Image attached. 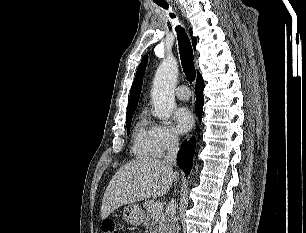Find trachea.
<instances>
[{"instance_id":"1","label":"trachea","mask_w":306,"mask_h":233,"mask_svg":"<svg viewBox=\"0 0 306 233\" xmlns=\"http://www.w3.org/2000/svg\"><path fill=\"white\" fill-rule=\"evenodd\" d=\"M158 5L164 9H168V4H158ZM170 16L173 18L175 17L174 14H171ZM176 31H177L179 53L181 57V64L183 67V71L186 75L187 80L189 82H193L195 80L196 71L193 62L194 57H193V50L191 43L187 33L182 27L177 26Z\"/></svg>"}]
</instances>
